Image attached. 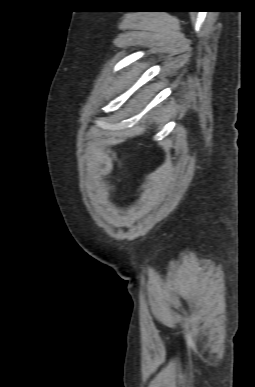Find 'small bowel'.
<instances>
[{"mask_svg": "<svg viewBox=\"0 0 255 387\" xmlns=\"http://www.w3.org/2000/svg\"><path fill=\"white\" fill-rule=\"evenodd\" d=\"M110 153L113 157H118L117 149H111ZM92 177L95 181L108 178L114 171V163L112 158L102 150L95 151V163L91 165Z\"/></svg>", "mask_w": 255, "mask_h": 387, "instance_id": "1", "label": "small bowel"}]
</instances>
